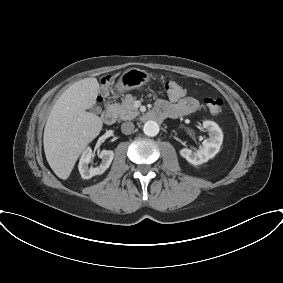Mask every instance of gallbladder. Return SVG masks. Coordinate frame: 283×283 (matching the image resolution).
Wrapping results in <instances>:
<instances>
[{
	"label": "gallbladder",
	"instance_id": "obj_1",
	"mask_svg": "<svg viewBox=\"0 0 283 283\" xmlns=\"http://www.w3.org/2000/svg\"><path fill=\"white\" fill-rule=\"evenodd\" d=\"M91 111H92L93 113H99V112H100V110H99V109H97V108H95V107H94V108H92V109H91Z\"/></svg>",
	"mask_w": 283,
	"mask_h": 283
}]
</instances>
